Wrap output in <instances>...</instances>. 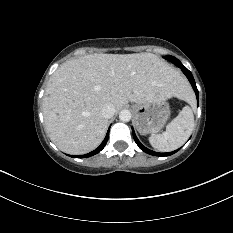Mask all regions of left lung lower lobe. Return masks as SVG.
<instances>
[{
	"label": "left lung lower lobe",
	"mask_w": 233,
	"mask_h": 233,
	"mask_svg": "<svg viewBox=\"0 0 233 233\" xmlns=\"http://www.w3.org/2000/svg\"><path fill=\"white\" fill-rule=\"evenodd\" d=\"M174 64H175L176 66H178L179 68H181L182 72L186 75V77H187L188 80L190 81V83H191V85H192V87H193V89H194V91H195V94H196V97H197V101H198L199 94H198V90H197V87H196V84H195V80H194V78H193V75L191 74V72H190L179 60L175 61ZM132 133H133L134 140H135V142L137 143L138 147H139L142 151H144V152H146V153H148V154H150V155H154V156H169V155H172V154L176 153V152L179 150V149H178V150H176V151L169 152V153H158V152L151 151V150L147 149L146 147H144V146L140 143V141L137 139V137H136V135H135V132H134L133 128H132Z\"/></svg>",
	"instance_id": "0a47b994"
}]
</instances>
